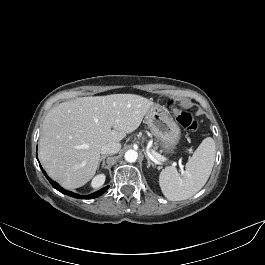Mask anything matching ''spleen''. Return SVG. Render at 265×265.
<instances>
[{
    "mask_svg": "<svg viewBox=\"0 0 265 265\" xmlns=\"http://www.w3.org/2000/svg\"><path fill=\"white\" fill-rule=\"evenodd\" d=\"M215 142L205 138L181 174L175 167H166L159 176V185L164 196L171 201L185 200L195 195L207 182L215 162Z\"/></svg>",
    "mask_w": 265,
    "mask_h": 265,
    "instance_id": "obj_1",
    "label": "spleen"
}]
</instances>
